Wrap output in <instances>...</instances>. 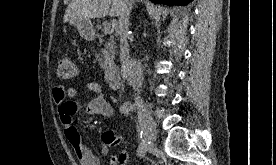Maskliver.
<instances>
[{"instance_id":"liver-1","label":"liver","mask_w":276,"mask_h":165,"mask_svg":"<svg viewBox=\"0 0 276 165\" xmlns=\"http://www.w3.org/2000/svg\"><path fill=\"white\" fill-rule=\"evenodd\" d=\"M124 0H72L68 5L64 22L75 18H103L120 16Z\"/></svg>"}]
</instances>
